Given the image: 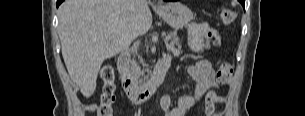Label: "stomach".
Masks as SVG:
<instances>
[{
  "label": "stomach",
  "instance_id": "stomach-1",
  "mask_svg": "<svg viewBox=\"0 0 305 116\" xmlns=\"http://www.w3.org/2000/svg\"><path fill=\"white\" fill-rule=\"evenodd\" d=\"M158 15L171 27L180 29L187 25L193 18L191 10L180 2H169L158 7Z\"/></svg>",
  "mask_w": 305,
  "mask_h": 116
}]
</instances>
